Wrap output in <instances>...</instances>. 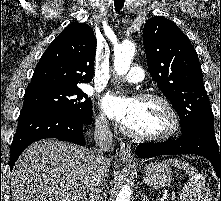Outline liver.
I'll return each mask as SVG.
<instances>
[{
    "mask_svg": "<svg viewBox=\"0 0 221 201\" xmlns=\"http://www.w3.org/2000/svg\"><path fill=\"white\" fill-rule=\"evenodd\" d=\"M92 164L86 147L54 139L34 142L14 165L12 201H81L90 189Z\"/></svg>",
    "mask_w": 221,
    "mask_h": 201,
    "instance_id": "1",
    "label": "liver"
}]
</instances>
